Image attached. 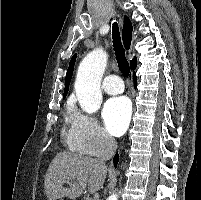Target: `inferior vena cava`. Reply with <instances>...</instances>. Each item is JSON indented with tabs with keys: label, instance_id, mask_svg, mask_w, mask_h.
I'll return each mask as SVG.
<instances>
[{
	"label": "inferior vena cava",
	"instance_id": "obj_1",
	"mask_svg": "<svg viewBox=\"0 0 201 200\" xmlns=\"http://www.w3.org/2000/svg\"><path fill=\"white\" fill-rule=\"evenodd\" d=\"M117 142L110 135H105L103 138V150L100 157L97 159L98 163L105 167V161L109 160L116 152Z\"/></svg>",
	"mask_w": 201,
	"mask_h": 200
}]
</instances>
